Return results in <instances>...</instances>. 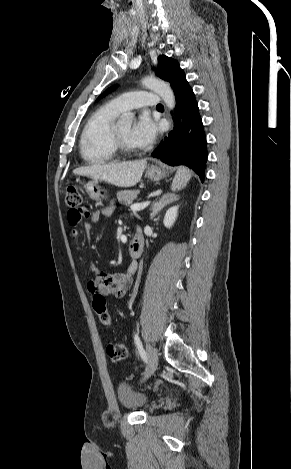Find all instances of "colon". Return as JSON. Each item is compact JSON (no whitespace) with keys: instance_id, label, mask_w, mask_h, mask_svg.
I'll return each instance as SVG.
<instances>
[{"instance_id":"5ec220e1","label":"colon","mask_w":291,"mask_h":469,"mask_svg":"<svg viewBox=\"0 0 291 469\" xmlns=\"http://www.w3.org/2000/svg\"><path fill=\"white\" fill-rule=\"evenodd\" d=\"M66 204L70 210L76 211L80 216L87 213L86 209L81 207L82 195L75 186H69L66 191ZM109 300L107 293H96L94 295L93 307L96 311L100 322L107 328H111L112 320L107 310L106 302ZM106 353L113 361H121L127 357V347L121 342L110 343L106 347Z\"/></svg>"}]
</instances>
